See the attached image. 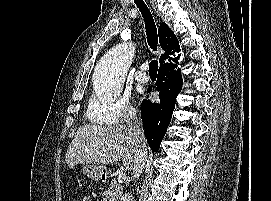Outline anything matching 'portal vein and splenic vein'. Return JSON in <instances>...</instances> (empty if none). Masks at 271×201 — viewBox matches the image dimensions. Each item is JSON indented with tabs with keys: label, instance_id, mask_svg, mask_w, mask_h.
I'll return each instance as SVG.
<instances>
[{
	"label": "portal vein and splenic vein",
	"instance_id": "obj_1",
	"mask_svg": "<svg viewBox=\"0 0 271 201\" xmlns=\"http://www.w3.org/2000/svg\"><path fill=\"white\" fill-rule=\"evenodd\" d=\"M125 179H126L125 173L122 172V173L118 174V177H117L118 182L122 183V182H124Z\"/></svg>",
	"mask_w": 271,
	"mask_h": 201
}]
</instances>
